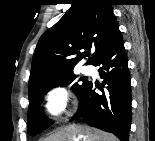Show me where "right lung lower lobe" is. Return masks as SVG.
Masks as SVG:
<instances>
[{
    "mask_svg": "<svg viewBox=\"0 0 155 141\" xmlns=\"http://www.w3.org/2000/svg\"><path fill=\"white\" fill-rule=\"evenodd\" d=\"M100 66L103 88L88 81L78 98L79 110L87 124L128 140L131 126V85L124 41L119 32L92 64ZM102 94L95 92V88Z\"/></svg>",
    "mask_w": 155,
    "mask_h": 141,
    "instance_id": "98d812e1",
    "label": "right lung lower lobe"
}]
</instances>
